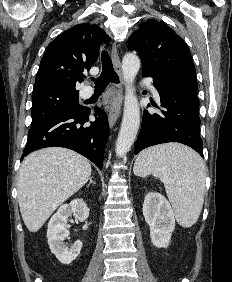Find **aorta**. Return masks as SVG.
I'll return each instance as SVG.
<instances>
[{"label":"aorta","instance_id":"1","mask_svg":"<svg viewBox=\"0 0 232 282\" xmlns=\"http://www.w3.org/2000/svg\"><path fill=\"white\" fill-rule=\"evenodd\" d=\"M140 69V59L134 53H127L122 60V74L125 82L124 112L116 142L117 157L124 156L133 145L140 125V108L134 94L133 82Z\"/></svg>","mask_w":232,"mask_h":282}]
</instances>
